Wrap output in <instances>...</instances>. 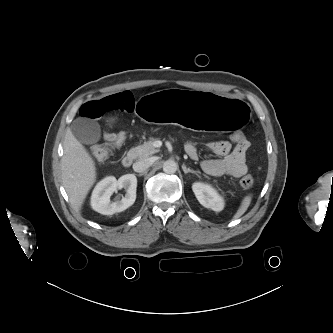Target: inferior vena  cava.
<instances>
[{"label": "inferior vena cava", "instance_id": "obj_1", "mask_svg": "<svg viewBox=\"0 0 333 333\" xmlns=\"http://www.w3.org/2000/svg\"><path fill=\"white\" fill-rule=\"evenodd\" d=\"M152 165L151 159H142L133 164V170L135 172H143Z\"/></svg>", "mask_w": 333, "mask_h": 333}]
</instances>
